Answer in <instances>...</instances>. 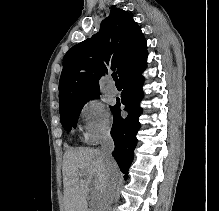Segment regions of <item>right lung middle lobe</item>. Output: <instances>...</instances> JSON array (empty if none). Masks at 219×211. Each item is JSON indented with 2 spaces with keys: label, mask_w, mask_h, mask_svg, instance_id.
I'll list each match as a JSON object with an SVG mask.
<instances>
[{
  "label": "right lung middle lobe",
  "mask_w": 219,
  "mask_h": 211,
  "mask_svg": "<svg viewBox=\"0 0 219 211\" xmlns=\"http://www.w3.org/2000/svg\"><path fill=\"white\" fill-rule=\"evenodd\" d=\"M95 97H99V95L93 96V98ZM88 100L89 98H86L77 102L60 105V120L67 131L76 128L81 109Z\"/></svg>",
  "instance_id": "dd1d6c3e"
}]
</instances>
